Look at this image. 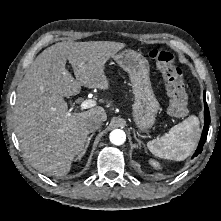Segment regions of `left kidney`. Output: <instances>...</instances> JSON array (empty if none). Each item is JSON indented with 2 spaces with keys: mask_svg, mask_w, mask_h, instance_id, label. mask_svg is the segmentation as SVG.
<instances>
[{
  "mask_svg": "<svg viewBox=\"0 0 221 221\" xmlns=\"http://www.w3.org/2000/svg\"><path fill=\"white\" fill-rule=\"evenodd\" d=\"M149 163L154 167H160V164L156 162L155 160H150Z\"/></svg>",
  "mask_w": 221,
  "mask_h": 221,
  "instance_id": "5707ae66",
  "label": "left kidney"
}]
</instances>
